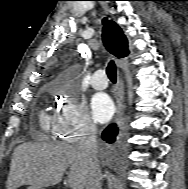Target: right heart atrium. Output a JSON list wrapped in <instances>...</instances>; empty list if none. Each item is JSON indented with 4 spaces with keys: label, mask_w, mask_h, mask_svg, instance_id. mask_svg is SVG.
<instances>
[{
    "label": "right heart atrium",
    "mask_w": 188,
    "mask_h": 189,
    "mask_svg": "<svg viewBox=\"0 0 188 189\" xmlns=\"http://www.w3.org/2000/svg\"><path fill=\"white\" fill-rule=\"evenodd\" d=\"M56 133L68 142L94 134L96 125L85 106L67 94H61L54 117Z\"/></svg>",
    "instance_id": "right-heart-atrium-1"
}]
</instances>
